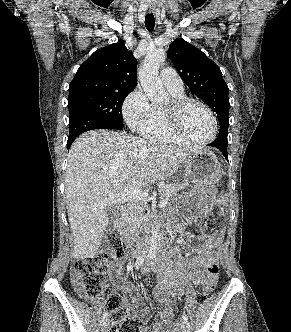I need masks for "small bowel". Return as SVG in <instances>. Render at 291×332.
<instances>
[{"label": "small bowel", "mask_w": 291, "mask_h": 332, "mask_svg": "<svg viewBox=\"0 0 291 332\" xmlns=\"http://www.w3.org/2000/svg\"><path fill=\"white\" fill-rule=\"evenodd\" d=\"M173 230L179 235V244L185 245V228L182 224L173 225ZM202 244L192 256L185 255L179 247L164 249L159 267L149 266L141 270L147 274L153 270L157 278L156 297L161 303L159 320L151 330L146 327L148 309L140 297H136V306L132 319L142 326V332H174L172 329V299L184 292L189 285H203L210 277L214 267H218L217 248L223 238V230L217 229L213 233H202L195 236ZM119 279V268L116 269Z\"/></svg>", "instance_id": "obj_1"}]
</instances>
